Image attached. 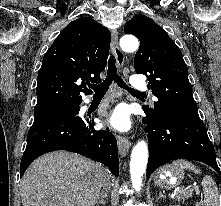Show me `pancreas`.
<instances>
[{"instance_id":"1","label":"pancreas","mask_w":221,"mask_h":206,"mask_svg":"<svg viewBox=\"0 0 221 206\" xmlns=\"http://www.w3.org/2000/svg\"><path fill=\"white\" fill-rule=\"evenodd\" d=\"M190 195H191L190 192H181V193H179V195L177 196V200H178V201H181V200L184 201L185 199L189 198Z\"/></svg>"}]
</instances>
